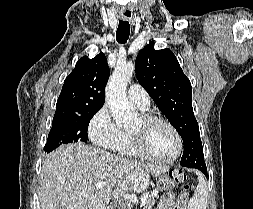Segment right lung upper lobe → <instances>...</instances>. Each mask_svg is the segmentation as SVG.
Wrapping results in <instances>:
<instances>
[{
	"label": "right lung upper lobe",
	"instance_id": "1",
	"mask_svg": "<svg viewBox=\"0 0 253 209\" xmlns=\"http://www.w3.org/2000/svg\"><path fill=\"white\" fill-rule=\"evenodd\" d=\"M110 76L103 53L90 59L83 56L65 79L53 119L81 115L100 110L105 102V86Z\"/></svg>",
	"mask_w": 253,
	"mask_h": 209
}]
</instances>
